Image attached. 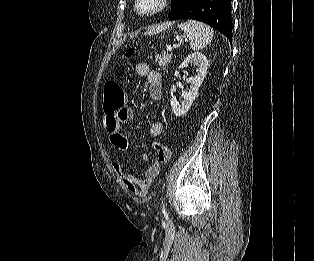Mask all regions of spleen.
<instances>
[{
    "instance_id": "obj_1",
    "label": "spleen",
    "mask_w": 314,
    "mask_h": 261,
    "mask_svg": "<svg viewBox=\"0 0 314 261\" xmlns=\"http://www.w3.org/2000/svg\"><path fill=\"white\" fill-rule=\"evenodd\" d=\"M178 28L184 31L190 39V47L194 51L205 48L214 36L213 29L210 26L195 20L180 23Z\"/></svg>"
}]
</instances>
